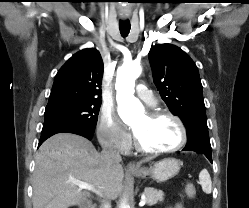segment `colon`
<instances>
[{"label": "colon", "mask_w": 249, "mask_h": 208, "mask_svg": "<svg viewBox=\"0 0 249 208\" xmlns=\"http://www.w3.org/2000/svg\"><path fill=\"white\" fill-rule=\"evenodd\" d=\"M186 194L189 198L193 199L196 196V187L193 183H188L185 187Z\"/></svg>", "instance_id": "obj_1"}]
</instances>
